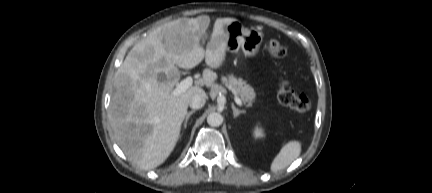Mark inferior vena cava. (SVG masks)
I'll list each match as a JSON object with an SVG mask.
<instances>
[{
  "label": "inferior vena cava",
  "instance_id": "inferior-vena-cava-1",
  "mask_svg": "<svg viewBox=\"0 0 432 193\" xmlns=\"http://www.w3.org/2000/svg\"><path fill=\"white\" fill-rule=\"evenodd\" d=\"M206 103V95L205 94H194L190 101V107L193 109H200Z\"/></svg>",
  "mask_w": 432,
  "mask_h": 193
}]
</instances>
